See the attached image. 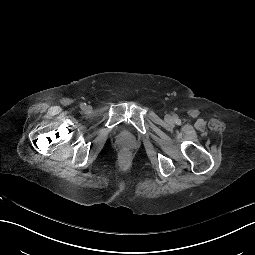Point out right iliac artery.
<instances>
[{
  "mask_svg": "<svg viewBox=\"0 0 255 255\" xmlns=\"http://www.w3.org/2000/svg\"><path fill=\"white\" fill-rule=\"evenodd\" d=\"M80 108H81V109H85V108H86V104H85V103H81V104H80Z\"/></svg>",
  "mask_w": 255,
  "mask_h": 255,
  "instance_id": "82829eb1",
  "label": "right iliac artery"
}]
</instances>
